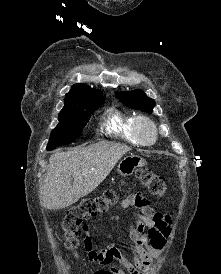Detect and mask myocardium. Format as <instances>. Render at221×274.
Here are the masks:
<instances>
[{"instance_id":"1","label":"myocardium","mask_w":221,"mask_h":274,"mask_svg":"<svg viewBox=\"0 0 221 274\" xmlns=\"http://www.w3.org/2000/svg\"><path fill=\"white\" fill-rule=\"evenodd\" d=\"M134 132L138 140L143 145H152L156 142L158 131L154 121L144 115L136 117L134 122Z\"/></svg>"}]
</instances>
